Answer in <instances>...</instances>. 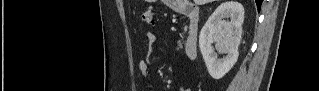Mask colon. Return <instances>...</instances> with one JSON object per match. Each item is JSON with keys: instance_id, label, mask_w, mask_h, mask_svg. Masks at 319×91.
Masks as SVG:
<instances>
[{"instance_id": "colon-1", "label": "colon", "mask_w": 319, "mask_h": 91, "mask_svg": "<svg viewBox=\"0 0 319 91\" xmlns=\"http://www.w3.org/2000/svg\"><path fill=\"white\" fill-rule=\"evenodd\" d=\"M141 19L145 24L154 26L155 25L154 7L149 6L148 8H146L141 14Z\"/></svg>"}]
</instances>
